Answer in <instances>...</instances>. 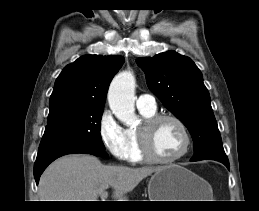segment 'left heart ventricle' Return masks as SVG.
I'll list each match as a JSON object with an SVG mask.
<instances>
[{
    "label": "left heart ventricle",
    "mask_w": 259,
    "mask_h": 211,
    "mask_svg": "<svg viewBox=\"0 0 259 211\" xmlns=\"http://www.w3.org/2000/svg\"><path fill=\"white\" fill-rule=\"evenodd\" d=\"M184 142L180 128L170 120L160 122L150 132L152 151L160 158L177 155L183 149Z\"/></svg>",
    "instance_id": "b2bd125f"
}]
</instances>
